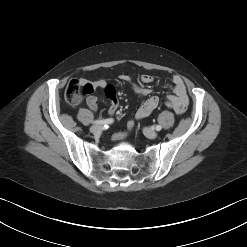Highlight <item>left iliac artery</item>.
<instances>
[{"label":"left iliac artery","mask_w":247,"mask_h":247,"mask_svg":"<svg viewBox=\"0 0 247 247\" xmlns=\"http://www.w3.org/2000/svg\"><path fill=\"white\" fill-rule=\"evenodd\" d=\"M155 129H156L157 131H160V130L162 129V127H161L160 125H157V126L155 127Z\"/></svg>","instance_id":"left-iliac-artery-1"}]
</instances>
